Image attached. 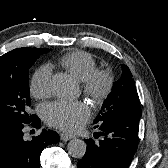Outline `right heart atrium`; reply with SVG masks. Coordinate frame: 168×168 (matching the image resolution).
I'll use <instances>...</instances> for the list:
<instances>
[{"instance_id": "1", "label": "right heart atrium", "mask_w": 168, "mask_h": 168, "mask_svg": "<svg viewBox=\"0 0 168 168\" xmlns=\"http://www.w3.org/2000/svg\"><path fill=\"white\" fill-rule=\"evenodd\" d=\"M51 69L49 66L38 68L30 82V93L35 98H45L50 94Z\"/></svg>"}]
</instances>
